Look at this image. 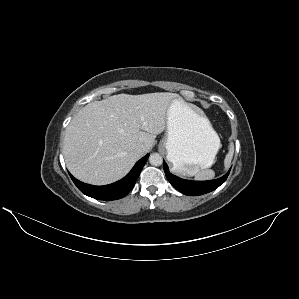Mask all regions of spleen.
I'll return each instance as SVG.
<instances>
[{
	"label": "spleen",
	"mask_w": 299,
	"mask_h": 299,
	"mask_svg": "<svg viewBox=\"0 0 299 299\" xmlns=\"http://www.w3.org/2000/svg\"><path fill=\"white\" fill-rule=\"evenodd\" d=\"M228 153L224 159V166L225 169H227L231 163V160L233 158V153H234V145L233 143H230L228 146ZM192 175H195L196 180H211L215 177V172L211 169H204L197 171L193 173Z\"/></svg>",
	"instance_id": "1"
}]
</instances>
